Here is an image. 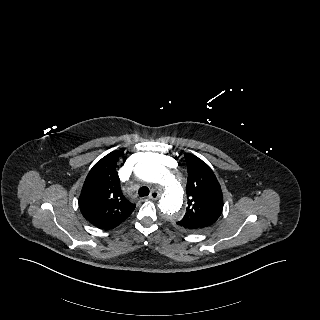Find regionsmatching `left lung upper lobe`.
<instances>
[{"label": "left lung upper lobe", "mask_w": 320, "mask_h": 320, "mask_svg": "<svg viewBox=\"0 0 320 320\" xmlns=\"http://www.w3.org/2000/svg\"><path fill=\"white\" fill-rule=\"evenodd\" d=\"M188 179L186 192L188 206L183 218L176 224L187 231L196 232L213 224L223 208L220 184L211 168L195 155L186 153Z\"/></svg>", "instance_id": "left-lung-upper-lobe-1"}]
</instances>
